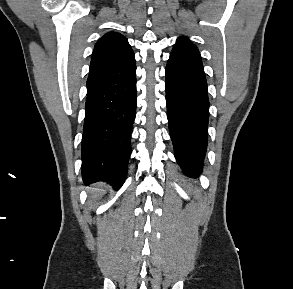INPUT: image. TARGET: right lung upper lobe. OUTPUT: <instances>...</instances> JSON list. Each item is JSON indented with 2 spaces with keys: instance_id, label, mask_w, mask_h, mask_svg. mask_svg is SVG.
Returning a JSON list of instances; mask_svg holds the SVG:
<instances>
[{
  "instance_id": "1",
  "label": "right lung upper lobe",
  "mask_w": 293,
  "mask_h": 289,
  "mask_svg": "<svg viewBox=\"0 0 293 289\" xmlns=\"http://www.w3.org/2000/svg\"><path fill=\"white\" fill-rule=\"evenodd\" d=\"M136 72L134 52L120 33L109 32L95 44L87 94L128 80Z\"/></svg>"
}]
</instances>
